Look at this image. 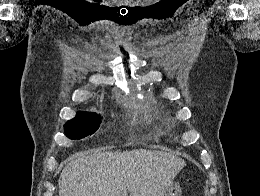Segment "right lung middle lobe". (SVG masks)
Here are the masks:
<instances>
[{
  "mask_svg": "<svg viewBox=\"0 0 260 196\" xmlns=\"http://www.w3.org/2000/svg\"><path fill=\"white\" fill-rule=\"evenodd\" d=\"M101 118L97 114L78 112L76 117L64 125L65 134L70 139H80L93 134L99 127Z\"/></svg>",
  "mask_w": 260,
  "mask_h": 196,
  "instance_id": "obj_1",
  "label": "right lung middle lobe"
}]
</instances>
